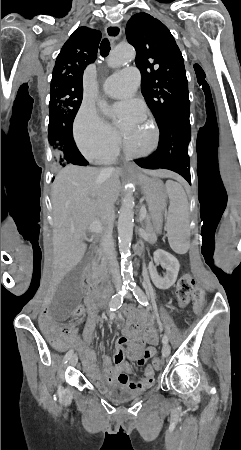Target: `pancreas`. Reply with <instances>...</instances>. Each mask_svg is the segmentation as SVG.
Masks as SVG:
<instances>
[{
  "instance_id": "pancreas-1",
  "label": "pancreas",
  "mask_w": 241,
  "mask_h": 450,
  "mask_svg": "<svg viewBox=\"0 0 241 450\" xmlns=\"http://www.w3.org/2000/svg\"><path fill=\"white\" fill-rule=\"evenodd\" d=\"M150 224V220H149V216H147L146 220H145V226H149ZM151 229L149 227L145 228L146 232H149ZM148 243L153 244L156 241L155 236H153L152 232L148 233V238H147ZM99 268V278L98 280H96L97 276H96V270L95 268H93V280H96V282H99V284H104V282H106L108 276H107V268H106V262H105V258H102V262L100 264V266H98Z\"/></svg>"
}]
</instances>
